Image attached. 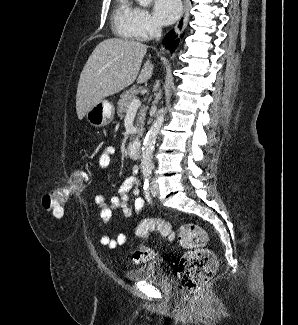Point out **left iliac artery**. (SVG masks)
Instances as JSON below:
<instances>
[{"mask_svg": "<svg viewBox=\"0 0 298 325\" xmlns=\"http://www.w3.org/2000/svg\"><path fill=\"white\" fill-rule=\"evenodd\" d=\"M150 175H151V172H149V171L144 172V195H145V198L148 201V203H151V197L149 194V181L151 178Z\"/></svg>", "mask_w": 298, "mask_h": 325, "instance_id": "44dca946", "label": "left iliac artery"}]
</instances>
